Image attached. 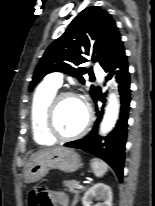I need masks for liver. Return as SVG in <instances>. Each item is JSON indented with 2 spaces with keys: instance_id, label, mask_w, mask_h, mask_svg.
<instances>
[{
  "instance_id": "6515ba94",
  "label": "liver",
  "mask_w": 155,
  "mask_h": 206,
  "mask_svg": "<svg viewBox=\"0 0 155 206\" xmlns=\"http://www.w3.org/2000/svg\"><path fill=\"white\" fill-rule=\"evenodd\" d=\"M46 150H50V149H46ZM44 151V150H43ZM34 156V155H33ZM33 156H31V158L33 157Z\"/></svg>"
}]
</instances>
